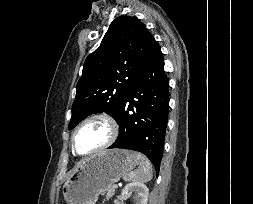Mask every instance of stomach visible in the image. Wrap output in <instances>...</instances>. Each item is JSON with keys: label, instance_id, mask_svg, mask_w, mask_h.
Wrapping results in <instances>:
<instances>
[{"label": "stomach", "instance_id": "0dacf381", "mask_svg": "<svg viewBox=\"0 0 253 204\" xmlns=\"http://www.w3.org/2000/svg\"><path fill=\"white\" fill-rule=\"evenodd\" d=\"M137 165L136 153L105 150L84 159L64 183L67 204H96L99 194L118 182Z\"/></svg>", "mask_w": 253, "mask_h": 204}]
</instances>
